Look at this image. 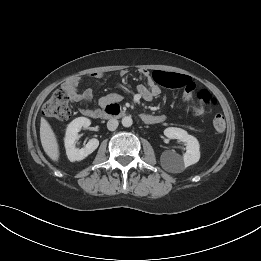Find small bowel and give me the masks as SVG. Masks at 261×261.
<instances>
[{
  "label": "small bowel",
  "instance_id": "c3829d8e",
  "mask_svg": "<svg viewBox=\"0 0 261 261\" xmlns=\"http://www.w3.org/2000/svg\"><path fill=\"white\" fill-rule=\"evenodd\" d=\"M142 77L144 78L146 84H140L137 87V95L147 101L152 100L154 97L160 94L161 88L160 85L169 87V88H182L183 89V99L186 102H192L193 93L195 90V84L192 80L182 74L163 72V71H154L152 74L147 70L140 71ZM126 71H122L121 75H125ZM93 78H101L102 73L96 72L91 74ZM80 83V79L78 77H74L69 79L63 84V89L69 94V97L72 102H81V101H90L92 99V90L90 88L85 89L80 92L78 90V86ZM115 99L114 96H105L101 98L100 103L102 105L110 102ZM94 110L83 108L81 112L84 115H89L90 112ZM203 112L201 107H195L194 113L199 115ZM148 116L150 122L149 123H158L162 122L165 117L162 115H146Z\"/></svg>",
  "mask_w": 261,
  "mask_h": 261
}]
</instances>
